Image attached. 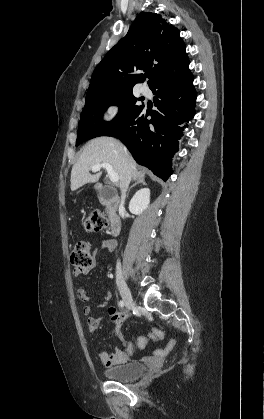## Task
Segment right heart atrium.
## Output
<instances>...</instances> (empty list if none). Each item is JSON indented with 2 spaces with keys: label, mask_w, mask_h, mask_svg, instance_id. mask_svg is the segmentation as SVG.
I'll return each mask as SVG.
<instances>
[{
  "label": "right heart atrium",
  "mask_w": 264,
  "mask_h": 419,
  "mask_svg": "<svg viewBox=\"0 0 264 419\" xmlns=\"http://www.w3.org/2000/svg\"><path fill=\"white\" fill-rule=\"evenodd\" d=\"M122 110V106L120 103L118 102H112L108 105L105 116H104V120L106 122H111L113 120H115L120 112Z\"/></svg>",
  "instance_id": "right-heart-atrium-1"
}]
</instances>
